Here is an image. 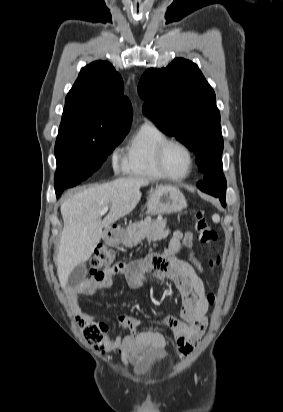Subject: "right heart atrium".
<instances>
[{"instance_id": "1", "label": "right heart atrium", "mask_w": 283, "mask_h": 412, "mask_svg": "<svg viewBox=\"0 0 283 412\" xmlns=\"http://www.w3.org/2000/svg\"><path fill=\"white\" fill-rule=\"evenodd\" d=\"M113 166L115 169L121 168L122 156L118 147H115L111 153Z\"/></svg>"}]
</instances>
